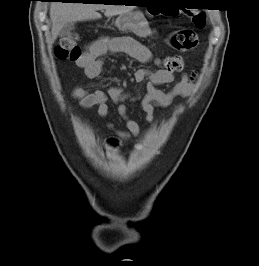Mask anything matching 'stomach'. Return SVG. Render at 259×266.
I'll list each match as a JSON object with an SVG mask.
<instances>
[{"instance_id":"obj_1","label":"stomach","mask_w":259,"mask_h":266,"mask_svg":"<svg viewBox=\"0 0 259 266\" xmlns=\"http://www.w3.org/2000/svg\"><path fill=\"white\" fill-rule=\"evenodd\" d=\"M121 31H131L137 36L145 37L150 33V29L145 18L138 13L121 14L115 22Z\"/></svg>"}]
</instances>
